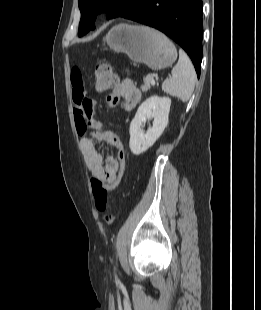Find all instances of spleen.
Masks as SVG:
<instances>
[{
	"label": "spleen",
	"mask_w": 261,
	"mask_h": 310,
	"mask_svg": "<svg viewBox=\"0 0 261 310\" xmlns=\"http://www.w3.org/2000/svg\"><path fill=\"white\" fill-rule=\"evenodd\" d=\"M196 79L192 62L183 50H179L178 63L172 69V75L162 83V90L187 102L194 91Z\"/></svg>",
	"instance_id": "obj_1"
}]
</instances>
